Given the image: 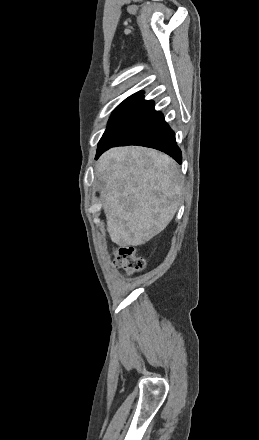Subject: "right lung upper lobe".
<instances>
[{"label": "right lung upper lobe", "instance_id": "right-lung-upper-lobe-1", "mask_svg": "<svg viewBox=\"0 0 259 440\" xmlns=\"http://www.w3.org/2000/svg\"><path fill=\"white\" fill-rule=\"evenodd\" d=\"M143 92L142 91H140V92H137L136 94H142Z\"/></svg>", "mask_w": 259, "mask_h": 440}]
</instances>
